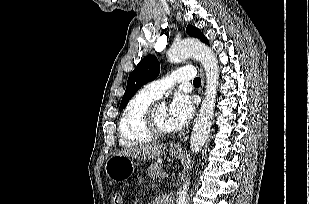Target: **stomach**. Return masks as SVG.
<instances>
[{
  "instance_id": "stomach-1",
  "label": "stomach",
  "mask_w": 309,
  "mask_h": 204,
  "mask_svg": "<svg viewBox=\"0 0 309 204\" xmlns=\"http://www.w3.org/2000/svg\"><path fill=\"white\" fill-rule=\"evenodd\" d=\"M170 154L174 157H179L182 150L170 149ZM135 169V161L132 157L125 155L111 156L105 165L107 176L113 181H123L129 178Z\"/></svg>"
}]
</instances>
